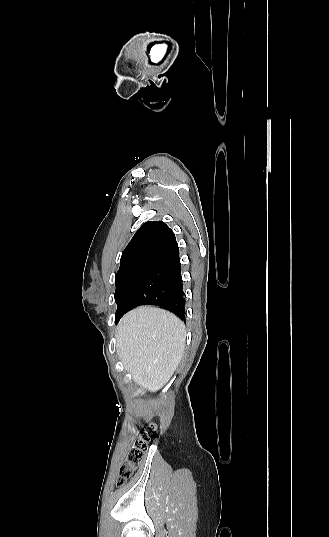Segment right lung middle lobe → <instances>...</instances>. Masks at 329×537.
Returning <instances> with one entry per match:
<instances>
[{"label": "right lung middle lobe", "instance_id": "right-lung-middle-lobe-1", "mask_svg": "<svg viewBox=\"0 0 329 537\" xmlns=\"http://www.w3.org/2000/svg\"><path fill=\"white\" fill-rule=\"evenodd\" d=\"M148 264V262H134L119 268L115 276L116 291L114 297L118 306L116 314L120 309L121 302L128 288Z\"/></svg>", "mask_w": 329, "mask_h": 537}]
</instances>
